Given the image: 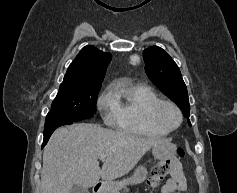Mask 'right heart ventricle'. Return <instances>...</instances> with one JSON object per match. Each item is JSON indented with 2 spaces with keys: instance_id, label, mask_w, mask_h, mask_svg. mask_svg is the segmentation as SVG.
Wrapping results in <instances>:
<instances>
[{
  "instance_id": "e07e8e85",
  "label": "right heart ventricle",
  "mask_w": 237,
  "mask_h": 193,
  "mask_svg": "<svg viewBox=\"0 0 237 193\" xmlns=\"http://www.w3.org/2000/svg\"><path fill=\"white\" fill-rule=\"evenodd\" d=\"M160 100L152 88L143 83H124L114 93L115 112L112 125L136 136H165L168 132L150 123V107Z\"/></svg>"
}]
</instances>
